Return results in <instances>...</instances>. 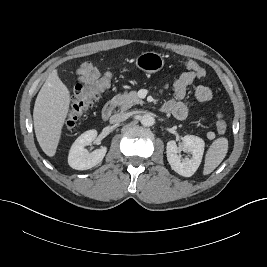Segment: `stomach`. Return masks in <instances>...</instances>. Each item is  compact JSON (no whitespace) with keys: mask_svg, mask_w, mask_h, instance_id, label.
Masks as SVG:
<instances>
[{"mask_svg":"<svg viewBox=\"0 0 267 267\" xmlns=\"http://www.w3.org/2000/svg\"><path fill=\"white\" fill-rule=\"evenodd\" d=\"M164 64V56L154 51L142 52L135 58L136 67L148 74L160 71Z\"/></svg>","mask_w":267,"mask_h":267,"instance_id":"0dacf381","label":"stomach"}]
</instances>
